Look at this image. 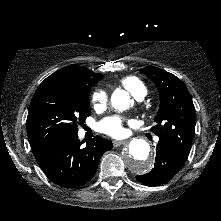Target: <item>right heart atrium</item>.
I'll use <instances>...</instances> for the list:
<instances>
[{
  "label": "right heart atrium",
  "mask_w": 221,
  "mask_h": 221,
  "mask_svg": "<svg viewBox=\"0 0 221 221\" xmlns=\"http://www.w3.org/2000/svg\"><path fill=\"white\" fill-rule=\"evenodd\" d=\"M91 103L96 110L105 108L108 103V94L102 89L95 90L91 96Z\"/></svg>",
  "instance_id": "right-heart-atrium-1"
}]
</instances>
